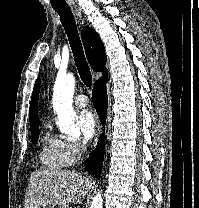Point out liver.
Masks as SVG:
<instances>
[{"mask_svg": "<svg viewBox=\"0 0 199 208\" xmlns=\"http://www.w3.org/2000/svg\"><path fill=\"white\" fill-rule=\"evenodd\" d=\"M92 181L77 171L38 169L31 173L24 208L78 204L92 188Z\"/></svg>", "mask_w": 199, "mask_h": 208, "instance_id": "liver-1", "label": "liver"}]
</instances>
